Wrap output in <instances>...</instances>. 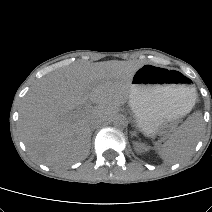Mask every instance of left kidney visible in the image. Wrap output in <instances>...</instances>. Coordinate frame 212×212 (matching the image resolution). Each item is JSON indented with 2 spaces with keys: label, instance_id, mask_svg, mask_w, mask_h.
<instances>
[{
  "label": "left kidney",
  "instance_id": "1",
  "mask_svg": "<svg viewBox=\"0 0 212 212\" xmlns=\"http://www.w3.org/2000/svg\"><path fill=\"white\" fill-rule=\"evenodd\" d=\"M136 145L139 152H145L148 150V147L143 143H137Z\"/></svg>",
  "mask_w": 212,
  "mask_h": 212
}]
</instances>
